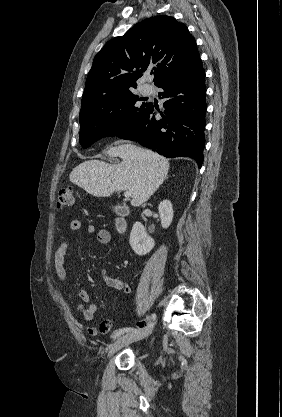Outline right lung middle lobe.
<instances>
[{
	"instance_id": "1",
	"label": "right lung middle lobe",
	"mask_w": 282,
	"mask_h": 417,
	"mask_svg": "<svg viewBox=\"0 0 282 417\" xmlns=\"http://www.w3.org/2000/svg\"><path fill=\"white\" fill-rule=\"evenodd\" d=\"M131 90L98 94L82 100L79 142L87 148L97 140L116 136L132 127L148 103Z\"/></svg>"
}]
</instances>
